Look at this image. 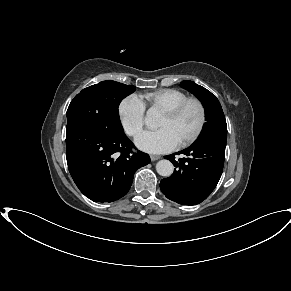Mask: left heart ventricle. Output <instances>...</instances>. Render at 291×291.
Returning a JSON list of instances; mask_svg holds the SVG:
<instances>
[{
  "label": "left heart ventricle",
  "instance_id": "1",
  "mask_svg": "<svg viewBox=\"0 0 291 291\" xmlns=\"http://www.w3.org/2000/svg\"><path fill=\"white\" fill-rule=\"evenodd\" d=\"M199 119L200 111L198 106L191 104L175 119L162 115L157 127L168 129L177 142L180 143L195 132Z\"/></svg>",
  "mask_w": 291,
  "mask_h": 291
}]
</instances>
